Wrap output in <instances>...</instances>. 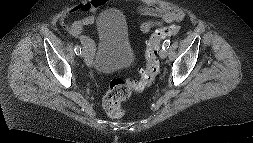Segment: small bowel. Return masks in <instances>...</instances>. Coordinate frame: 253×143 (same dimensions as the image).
<instances>
[{
  "label": "small bowel",
  "instance_id": "small-bowel-1",
  "mask_svg": "<svg viewBox=\"0 0 253 143\" xmlns=\"http://www.w3.org/2000/svg\"><path fill=\"white\" fill-rule=\"evenodd\" d=\"M108 0H90L86 3L78 4L71 8L66 15L62 18V26L68 31V33L74 38L78 39L84 47H87L90 51L93 49V41L86 36L83 31L86 27L92 26L95 21V13L101 9ZM138 11L142 15L151 16L158 20H150L144 22L140 29L142 33H148L154 27L162 24H173L180 22L184 18V12L180 7L173 5H152L141 4L138 7ZM85 14V16L74 20L71 23H66L65 18L77 15Z\"/></svg>",
  "mask_w": 253,
  "mask_h": 143
}]
</instances>
